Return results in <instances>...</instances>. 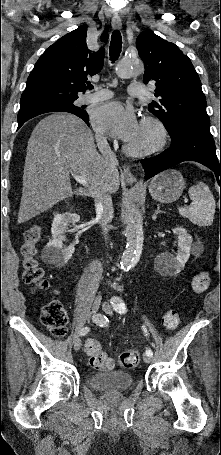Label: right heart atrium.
<instances>
[{"label":"right heart atrium","instance_id":"d8ad5b80","mask_svg":"<svg viewBox=\"0 0 221 455\" xmlns=\"http://www.w3.org/2000/svg\"><path fill=\"white\" fill-rule=\"evenodd\" d=\"M97 138H98V141L101 143V144H104L106 142V139L103 135L101 134H98L97 135Z\"/></svg>","mask_w":221,"mask_h":455}]
</instances>
